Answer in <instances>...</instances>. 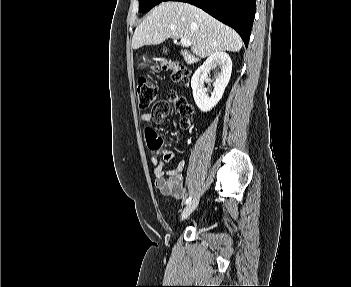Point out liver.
<instances>
[{"mask_svg": "<svg viewBox=\"0 0 351 287\" xmlns=\"http://www.w3.org/2000/svg\"><path fill=\"white\" fill-rule=\"evenodd\" d=\"M186 38L191 51L181 50L187 64L218 51L238 52L243 42L239 34L194 5L162 2L135 29L132 48L158 45L165 40Z\"/></svg>", "mask_w": 351, "mask_h": 287, "instance_id": "liver-1", "label": "liver"}]
</instances>
